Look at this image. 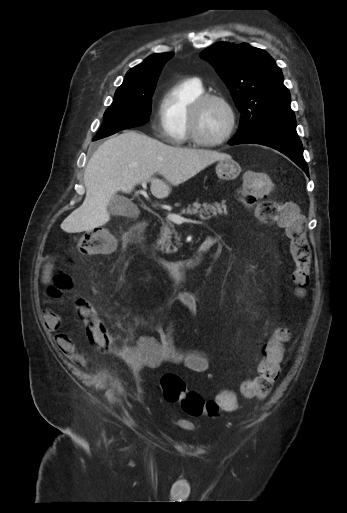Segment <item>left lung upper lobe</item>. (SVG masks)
I'll list each match as a JSON object with an SVG mask.
<instances>
[{
	"label": "left lung upper lobe",
	"instance_id": "left-lung-upper-lobe-1",
	"mask_svg": "<svg viewBox=\"0 0 347 513\" xmlns=\"http://www.w3.org/2000/svg\"><path fill=\"white\" fill-rule=\"evenodd\" d=\"M224 81L241 113L235 136L276 119H295L281 69L264 50L218 42L200 54Z\"/></svg>",
	"mask_w": 347,
	"mask_h": 513
}]
</instances>
